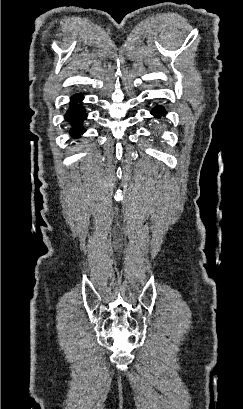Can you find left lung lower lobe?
I'll use <instances>...</instances> for the list:
<instances>
[{
  "label": "left lung lower lobe",
  "instance_id": "obj_1",
  "mask_svg": "<svg viewBox=\"0 0 243 409\" xmlns=\"http://www.w3.org/2000/svg\"><path fill=\"white\" fill-rule=\"evenodd\" d=\"M155 117L160 118L161 116H165V109L162 106L155 107L151 112Z\"/></svg>",
  "mask_w": 243,
  "mask_h": 409
}]
</instances>
